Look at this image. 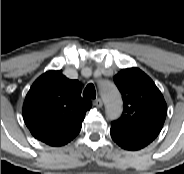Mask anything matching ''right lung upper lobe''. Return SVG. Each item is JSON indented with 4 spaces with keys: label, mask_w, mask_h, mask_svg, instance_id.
Returning <instances> with one entry per match:
<instances>
[{
    "label": "right lung upper lobe",
    "mask_w": 184,
    "mask_h": 174,
    "mask_svg": "<svg viewBox=\"0 0 184 174\" xmlns=\"http://www.w3.org/2000/svg\"><path fill=\"white\" fill-rule=\"evenodd\" d=\"M78 80L61 70L48 71L31 86L23 105V118L32 135L50 145L70 142L81 130L90 100L81 97Z\"/></svg>",
    "instance_id": "right-lung-upper-lobe-1"
}]
</instances>
